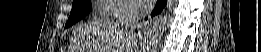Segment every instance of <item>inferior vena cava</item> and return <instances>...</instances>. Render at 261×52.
Segmentation results:
<instances>
[{
	"label": "inferior vena cava",
	"instance_id": "obj_1",
	"mask_svg": "<svg viewBox=\"0 0 261 52\" xmlns=\"http://www.w3.org/2000/svg\"><path fill=\"white\" fill-rule=\"evenodd\" d=\"M138 18H139L138 7L131 2H125L123 6V13L118 25H121L127 30L135 25Z\"/></svg>",
	"mask_w": 261,
	"mask_h": 52
}]
</instances>
